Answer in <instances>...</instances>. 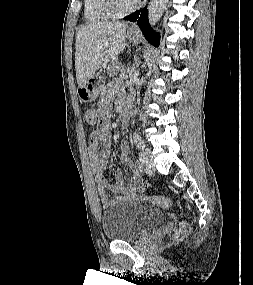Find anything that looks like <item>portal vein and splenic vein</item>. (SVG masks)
Listing matches in <instances>:
<instances>
[{"label":"portal vein and splenic vein","mask_w":253,"mask_h":285,"mask_svg":"<svg viewBox=\"0 0 253 285\" xmlns=\"http://www.w3.org/2000/svg\"><path fill=\"white\" fill-rule=\"evenodd\" d=\"M121 78H123V79H126L128 76H127V74H126V72H122V73H120V75H119Z\"/></svg>","instance_id":"1"}]
</instances>
